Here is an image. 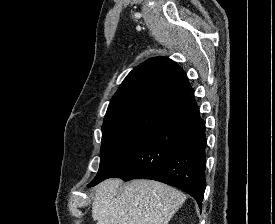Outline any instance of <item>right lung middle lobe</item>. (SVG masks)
<instances>
[{
    "mask_svg": "<svg viewBox=\"0 0 275 224\" xmlns=\"http://www.w3.org/2000/svg\"><path fill=\"white\" fill-rule=\"evenodd\" d=\"M165 112L166 110L158 108H144L103 123L100 167L88 187L107 179L142 142Z\"/></svg>",
    "mask_w": 275,
    "mask_h": 224,
    "instance_id": "right-lung-middle-lobe-1",
    "label": "right lung middle lobe"
}]
</instances>
